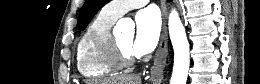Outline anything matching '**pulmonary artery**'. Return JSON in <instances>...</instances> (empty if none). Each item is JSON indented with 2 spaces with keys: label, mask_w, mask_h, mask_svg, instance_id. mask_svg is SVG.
<instances>
[{
  "label": "pulmonary artery",
  "mask_w": 260,
  "mask_h": 84,
  "mask_svg": "<svg viewBox=\"0 0 260 84\" xmlns=\"http://www.w3.org/2000/svg\"><path fill=\"white\" fill-rule=\"evenodd\" d=\"M146 0L111 1L105 7V12L112 18L118 19L129 10L147 4Z\"/></svg>",
  "instance_id": "e3ab8cb5"
}]
</instances>
